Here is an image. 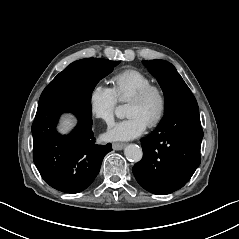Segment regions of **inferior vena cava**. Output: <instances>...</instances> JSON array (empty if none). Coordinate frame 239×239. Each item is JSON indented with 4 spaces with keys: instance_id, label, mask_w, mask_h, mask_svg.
<instances>
[{
    "instance_id": "1",
    "label": "inferior vena cava",
    "mask_w": 239,
    "mask_h": 239,
    "mask_svg": "<svg viewBox=\"0 0 239 239\" xmlns=\"http://www.w3.org/2000/svg\"><path fill=\"white\" fill-rule=\"evenodd\" d=\"M114 126L113 123H108V129H111Z\"/></svg>"
}]
</instances>
